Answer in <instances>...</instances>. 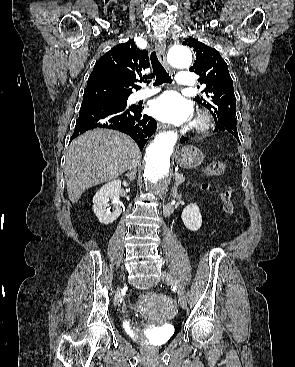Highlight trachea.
Segmentation results:
<instances>
[{
    "label": "trachea",
    "instance_id": "trachea-1",
    "mask_svg": "<svg viewBox=\"0 0 295 367\" xmlns=\"http://www.w3.org/2000/svg\"><path fill=\"white\" fill-rule=\"evenodd\" d=\"M150 59L153 68L152 76H156L154 86H159L163 83H172L171 77L159 62L155 51L151 52Z\"/></svg>",
    "mask_w": 295,
    "mask_h": 367
}]
</instances>
